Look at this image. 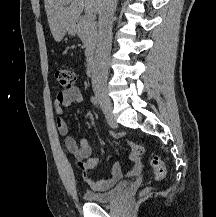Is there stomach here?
I'll return each mask as SVG.
<instances>
[{
	"label": "stomach",
	"instance_id": "1",
	"mask_svg": "<svg viewBox=\"0 0 216 217\" xmlns=\"http://www.w3.org/2000/svg\"><path fill=\"white\" fill-rule=\"evenodd\" d=\"M76 32H77L76 26H73V27H71V28L69 29V33H70L71 35H74Z\"/></svg>",
	"mask_w": 216,
	"mask_h": 217
}]
</instances>
